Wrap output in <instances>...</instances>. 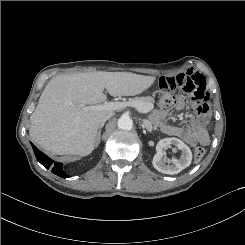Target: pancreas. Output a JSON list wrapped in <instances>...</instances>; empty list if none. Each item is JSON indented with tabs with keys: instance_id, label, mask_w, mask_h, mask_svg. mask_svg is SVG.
I'll return each instance as SVG.
<instances>
[{
	"instance_id": "1",
	"label": "pancreas",
	"mask_w": 245,
	"mask_h": 245,
	"mask_svg": "<svg viewBox=\"0 0 245 245\" xmlns=\"http://www.w3.org/2000/svg\"><path fill=\"white\" fill-rule=\"evenodd\" d=\"M128 102H130L134 105H137V106H146L147 104H153L154 99L150 96H148V97H135L133 99H130Z\"/></svg>"
}]
</instances>
